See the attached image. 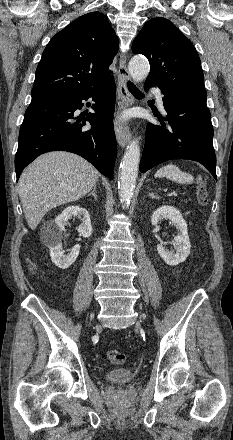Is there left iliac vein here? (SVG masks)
Returning a JSON list of instances; mask_svg holds the SVG:
<instances>
[{"label": "left iliac vein", "mask_w": 233, "mask_h": 440, "mask_svg": "<svg viewBox=\"0 0 233 440\" xmlns=\"http://www.w3.org/2000/svg\"><path fill=\"white\" fill-rule=\"evenodd\" d=\"M140 318H143V315H140Z\"/></svg>", "instance_id": "1"}]
</instances>
